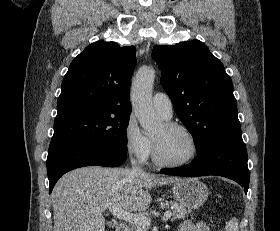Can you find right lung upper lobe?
Instances as JSON below:
<instances>
[{
  "instance_id": "right-lung-upper-lobe-1",
  "label": "right lung upper lobe",
  "mask_w": 280,
  "mask_h": 231,
  "mask_svg": "<svg viewBox=\"0 0 280 231\" xmlns=\"http://www.w3.org/2000/svg\"><path fill=\"white\" fill-rule=\"evenodd\" d=\"M136 49L95 42L70 64L64 76L55 121L108 113H129L130 79Z\"/></svg>"
}]
</instances>
